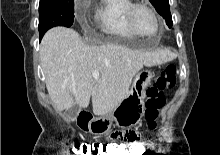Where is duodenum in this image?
<instances>
[{
	"label": "duodenum",
	"instance_id": "1",
	"mask_svg": "<svg viewBox=\"0 0 220 155\" xmlns=\"http://www.w3.org/2000/svg\"><path fill=\"white\" fill-rule=\"evenodd\" d=\"M93 119V116L90 112L88 111H82L79 115V118H78V122L80 124H89Z\"/></svg>",
	"mask_w": 220,
	"mask_h": 155
}]
</instances>
